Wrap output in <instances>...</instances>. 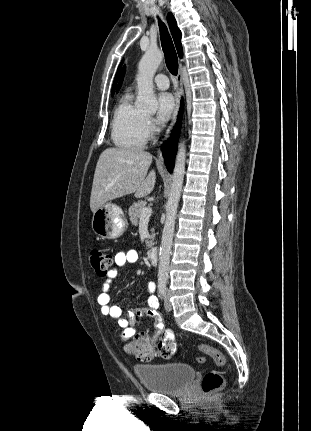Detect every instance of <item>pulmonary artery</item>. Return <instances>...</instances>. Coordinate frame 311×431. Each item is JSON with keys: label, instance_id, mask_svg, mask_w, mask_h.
<instances>
[{"label": "pulmonary artery", "instance_id": "obj_1", "mask_svg": "<svg viewBox=\"0 0 311 431\" xmlns=\"http://www.w3.org/2000/svg\"><path fill=\"white\" fill-rule=\"evenodd\" d=\"M156 86L160 90H166L170 87V82L168 77L165 74L159 73L154 78Z\"/></svg>", "mask_w": 311, "mask_h": 431}]
</instances>
